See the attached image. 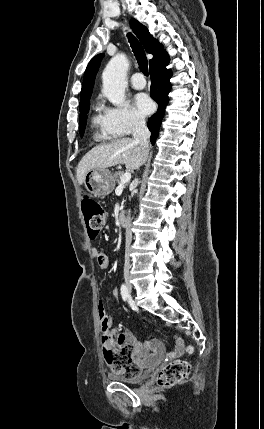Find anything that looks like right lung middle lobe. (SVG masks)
Wrapping results in <instances>:
<instances>
[{"mask_svg":"<svg viewBox=\"0 0 264 429\" xmlns=\"http://www.w3.org/2000/svg\"><path fill=\"white\" fill-rule=\"evenodd\" d=\"M89 104L80 106V123H79V128H80V135L82 136L85 130V126H86V119H87V113L89 112Z\"/></svg>","mask_w":264,"mask_h":429,"instance_id":"right-lung-middle-lobe-1","label":"right lung middle lobe"}]
</instances>
